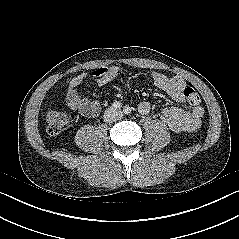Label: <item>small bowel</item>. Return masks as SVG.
<instances>
[{"label":"small bowel","instance_id":"small-bowel-1","mask_svg":"<svg viewBox=\"0 0 239 239\" xmlns=\"http://www.w3.org/2000/svg\"><path fill=\"white\" fill-rule=\"evenodd\" d=\"M120 73V68L115 65L99 68L94 72V79L99 86H103L115 79ZM87 77L86 74L74 76L67 87L66 102L74 110H77L82 116H96L101 105L98 102L91 101L88 98L81 97L78 93V87ZM154 85L164 91L174 101V105L161 111V120L174 132H189L197 130L204 116L202 106H193L191 109L185 106V97L183 89L186 86L184 79L180 76L169 77L161 72H153L151 75ZM151 106L143 101L138 105L139 113L146 115L150 112Z\"/></svg>","mask_w":239,"mask_h":239}]
</instances>
